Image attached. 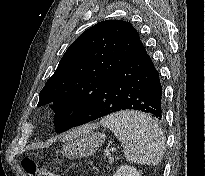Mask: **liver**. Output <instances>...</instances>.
<instances>
[{
  "label": "liver",
  "mask_w": 205,
  "mask_h": 176,
  "mask_svg": "<svg viewBox=\"0 0 205 176\" xmlns=\"http://www.w3.org/2000/svg\"><path fill=\"white\" fill-rule=\"evenodd\" d=\"M86 129H87L86 127H82V128L75 129V130L71 131V133L66 136V140H69V139L77 136L81 131L86 130Z\"/></svg>",
  "instance_id": "1"
}]
</instances>
